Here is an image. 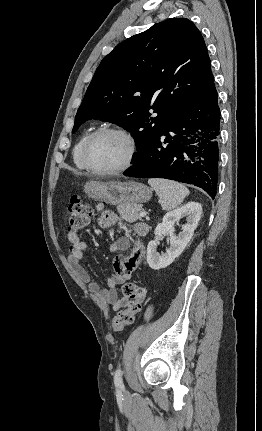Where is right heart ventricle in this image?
<instances>
[{
	"instance_id": "right-heart-ventricle-1",
	"label": "right heart ventricle",
	"mask_w": 262,
	"mask_h": 431,
	"mask_svg": "<svg viewBox=\"0 0 262 431\" xmlns=\"http://www.w3.org/2000/svg\"><path fill=\"white\" fill-rule=\"evenodd\" d=\"M91 134V132L85 133L74 145L73 151H72V161L74 166L79 170H85V166L81 160V152L83 145L88 138V136Z\"/></svg>"
}]
</instances>
